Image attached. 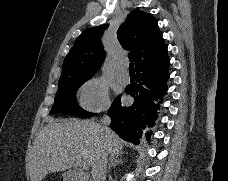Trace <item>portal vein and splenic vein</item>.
Segmentation results:
<instances>
[{"label":"portal vein and splenic vein","instance_id":"portal-vein-and-splenic-vein-1","mask_svg":"<svg viewBox=\"0 0 228 181\" xmlns=\"http://www.w3.org/2000/svg\"><path fill=\"white\" fill-rule=\"evenodd\" d=\"M75 163H76L77 167H79V169H85V167H86L85 161H82V157H76Z\"/></svg>","mask_w":228,"mask_h":181}]
</instances>
